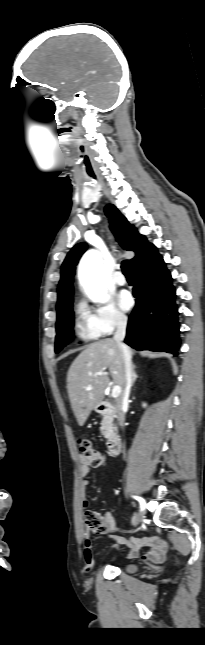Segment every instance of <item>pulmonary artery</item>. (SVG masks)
<instances>
[{"label": "pulmonary artery", "instance_id": "obj_1", "mask_svg": "<svg viewBox=\"0 0 205 645\" xmlns=\"http://www.w3.org/2000/svg\"><path fill=\"white\" fill-rule=\"evenodd\" d=\"M112 280L115 284L123 286L126 284V278L121 271L117 270L112 275Z\"/></svg>", "mask_w": 205, "mask_h": 645}]
</instances>
